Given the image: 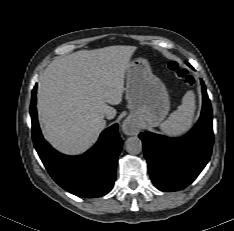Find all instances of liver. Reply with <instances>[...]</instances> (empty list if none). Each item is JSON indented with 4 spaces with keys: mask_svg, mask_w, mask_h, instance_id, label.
I'll return each mask as SVG.
<instances>
[{
    "mask_svg": "<svg viewBox=\"0 0 234 231\" xmlns=\"http://www.w3.org/2000/svg\"><path fill=\"white\" fill-rule=\"evenodd\" d=\"M134 46L81 50L53 60L39 77L37 111L46 140L65 154L90 148L124 92Z\"/></svg>",
    "mask_w": 234,
    "mask_h": 231,
    "instance_id": "liver-1",
    "label": "liver"
}]
</instances>
